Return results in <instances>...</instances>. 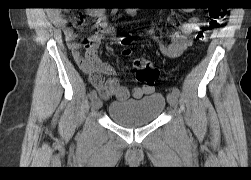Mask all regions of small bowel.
I'll return each mask as SVG.
<instances>
[{
	"mask_svg": "<svg viewBox=\"0 0 251 180\" xmlns=\"http://www.w3.org/2000/svg\"><path fill=\"white\" fill-rule=\"evenodd\" d=\"M87 13L95 17L97 23L95 33L84 42V54L80 50L81 40L68 25L65 16L61 13H55L54 23L62 29L73 59L81 70L88 75L90 83L99 92L100 96L104 99L115 97L119 101H124L130 96L133 99H140L143 96L153 93V85L136 87L129 92V90L121 85L114 77V68L98 58L96 51L102 39L113 36L115 31L104 11L93 9ZM128 13L133 14L134 12L133 10H129ZM199 25L200 19L197 16L190 17L179 26L178 30L170 35L169 43H164L161 40L155 33L154 26L149 30V33L157 42L159 50L164 56L177 58L191 46L192 40L190 35L198 29Z\"/></svg>",
	"mask_w": 251,
	"mask_h": 180,
	"instance_id": "obj_1",
	"label": "small bowel"
}]
</instances>
